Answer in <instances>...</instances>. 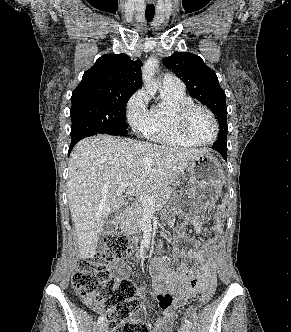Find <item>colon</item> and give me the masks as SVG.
Returning a JSON list of instances; mask_svg holds the SVG:
<instances>
[{
  "instance_id": "obj_1",
  "label": "colon",
  "mask_w": 291,
  "mask_h": 332,
  "mask_svg": "<svg viewBox=\"0 0 291 332\" xmlns=\"http://www.w3.org/2000/svg\"><path fill=\"white\" fill-rule=\"evenodd\" d=\"M135 241L120 232L104 238V247L91 259L77 262L72 285L81 300L90 308L106 316L110 332H150L148 326L133 318L141 302L137 287L128 279L116 278L108 269L112 262L131 255ZM215 287L203 290L199 304L205 305L214 294Z\"/></svg>"
}]
</instances>
